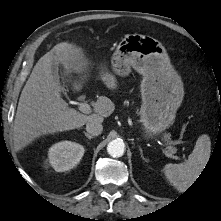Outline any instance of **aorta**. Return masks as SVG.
Wrapping results in <instances>:
<instances>
[{"instance_id":"1","label":"aorta","mask_w":221,"mask_h":221,"mask_svg":"<svg viewBox=\"0 0 221 221\" xmlns=\"http://www.w3.org/2000/svg\"><path fill=\"white\" fill-rule=\"evenodd\" d=\"M125 144L122 140L115 139L109 142L107 152L112 157H121L124 154Z\"/></svg>"}]
</instances>
